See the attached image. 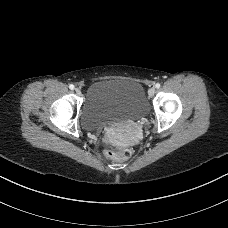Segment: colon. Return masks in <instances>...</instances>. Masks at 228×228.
<instances>
[{
  "label": "colon",
  "mask_w": 228,
  "mask_h": 228,
  "mask_svg": "<svg viewBox=\"0 0 228 228\" xmlns=\"http://www.w3.org/2000/svg\"><path fill=\"white\" fill-rule=\"evenodd\" d=\"M106 154L115 160H124L132 156V151L123 145L113 143Z\"/></svg>",
  "instance_id": "colon-1"
}]
</instances>
